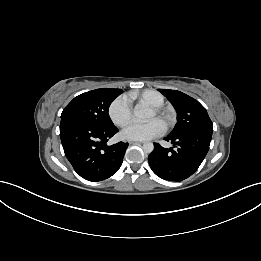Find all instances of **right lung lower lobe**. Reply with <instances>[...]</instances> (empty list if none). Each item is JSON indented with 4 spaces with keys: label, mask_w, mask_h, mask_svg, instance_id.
<instances>
[{
    "label": "right lung lower lobe",
    "mask_w": 261,
    "mask_h": 261,
    "mask_svg": "<svg viewBox=\"0 0 261 261\" xmlns=\"http://www.w3.org/2000/svg\"><path fill=\"white\" fill-rule=\"evenodd\" d=\"M117 132L114 125L99 127L71 119H61L60 123V137L67 159L81 177L93 182L111 177L122 164L128 143L107 145Z\"/></svg>",
    "instance_id": "98d812e1"
}]
</instances>
